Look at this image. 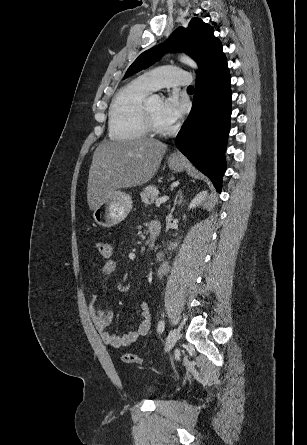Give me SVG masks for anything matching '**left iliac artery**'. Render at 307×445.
<instances>
[{
  "label": "left iliac artery",
  "mask_w": 307,
  "mask_h": 445,
  "mask_svg": "<svg viewBox=\"0 0 307 445\" xmlns=\"http://www.w3.org/2000/svg\"><path fill=\"white\" fill-rule=\"evenodd\" d=\"M165 328V323L163 320L159 321L158 326H157V330L159 333H162L164 331Z\"/></svg>",
  "instance_id": "left-iliac-artery-1"
}]
</instances>
